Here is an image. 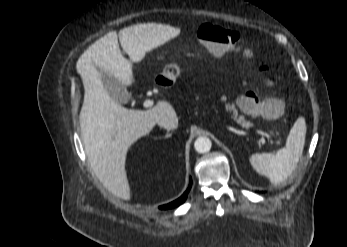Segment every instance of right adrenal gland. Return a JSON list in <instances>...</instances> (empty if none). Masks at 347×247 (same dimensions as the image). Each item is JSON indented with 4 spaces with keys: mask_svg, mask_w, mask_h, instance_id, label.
<instances>
[{
    "mask_svg": "<svg viewBox=\"0 0 347 247\" xmlns=\"http://www.w3.org/2000/svg\"><path fill=\"white\" fill-rule=\"evenodd\" d=\"M171 136H172V133H167L165 136L160 137V139H161V138H169V137H171Z\"/></svg>",
    "mask_w": 347,
    "mask_h": 247,
    "instance_id": "1",
    "label": "right adrenal gland"
}]
</instances>
